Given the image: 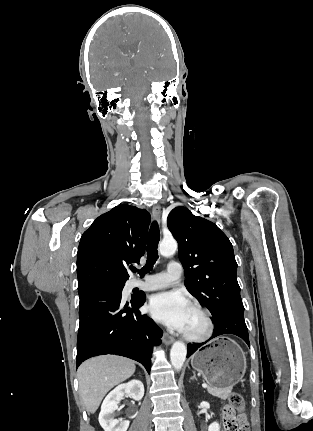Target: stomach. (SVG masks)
<instances>
[{
    "label": "stomach",
    "mask_w": 313,
    "mask_h": 431,
    "mask_svg": "<svg viewBox=\"0 0 313 431\" xmlns=\"http://www.w3.org/2000/svg\"><path fill=\"white\" fill-rule=\"evenodd\" d=\"M191 366L200 372L210 387L232 388L244 376L247 365L241 347L227 337L216 338L191 357Z\"/></svg>",
    "instance_id": "obj_1"
}]
</instances>
